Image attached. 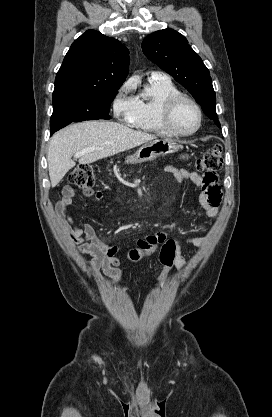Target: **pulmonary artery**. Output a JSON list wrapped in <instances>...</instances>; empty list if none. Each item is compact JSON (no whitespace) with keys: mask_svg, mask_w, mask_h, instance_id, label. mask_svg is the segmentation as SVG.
Here are the masks:
<instances>
[{"mask_svg":"<svg viewBox=\"0 0 272 417\" xmlns=\"http://www.w3.org/2000/svg\"><path fill=\"white\" fill-rule=\"evenodd\" d=\"M150 78L163 79L167 78V76L161 71H152L150 72Z\"/></svg>","mask_w":272,"mask_h":417,"instance_id":"1","label":"pulmonary artery"}]
</instances>
